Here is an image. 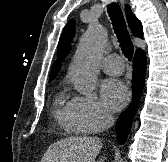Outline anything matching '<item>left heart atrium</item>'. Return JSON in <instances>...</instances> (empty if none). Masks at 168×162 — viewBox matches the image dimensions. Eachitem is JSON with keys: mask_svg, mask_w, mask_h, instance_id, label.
Instances as JSON below:
<instances>
[{"mask_svg": "<svg viewBox=\"0 0 168 162\" xmlns=\"http://www.w3.org/2000/svg\"><path fill=\"white\" fill-rule=\"evenodd\" d=\"M101 96L107 109L119 111L127 104L130 92L124 82L118 79H106L101 87Z\"/></svg>", "mask_w": 168, "mask_h": 162, "instance_id": "1", "label": "left heart atrium"}]
</instances>
